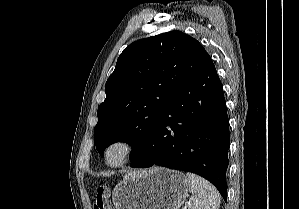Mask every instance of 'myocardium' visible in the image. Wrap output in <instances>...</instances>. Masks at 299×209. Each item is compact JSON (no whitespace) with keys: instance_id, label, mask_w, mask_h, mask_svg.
Listing matches in <instances>:
<instances>
[{"instance_id":"obj_1","label":"myocardium","mask_w":299,"mask_h":209,"mask_svg":"<svg viewBox=\"0 0 299 209\" xmlns=\"http://www.w3.org/2000/svg\"><path fill=\"white\" fill-rule=\"evenodd\" d=\"M115 146H121L123 148V155L122 158L116 163H110L108 160V154L111 148ZM137 152V145L136 143L127 136H117L111 139L104 149V163L106 166L110 168H120L128 164Z\"/></svg>"}]
</instances>
